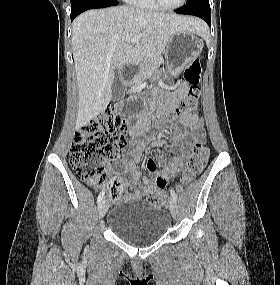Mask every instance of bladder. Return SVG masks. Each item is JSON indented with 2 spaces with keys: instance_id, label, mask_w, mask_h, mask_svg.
<instances>
[{
  "instance_id": "31cf9c89",
  "label": "bladder",
  "mask_w": 280,
  "mask_h": 285,
  "mask_svg": "<svg viewBox=\"0 0 280 285\" xmlns=\"http://www.w3.org/2000/svg\"><path fill=\"white\" fill-rule=\"evenodd\" d=\"M170 222L166 209L142 199L121 201L107 213L110 230L133 244H146L160 239Z\"/></svg>"
}]
</instances>
